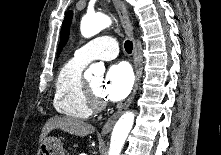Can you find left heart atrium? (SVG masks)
<instances>
[{
    "instance_id": "obj_1",
    "label": "left heart atrium",
    "mask_w": 221,
    "mask_h": 155,
    "mask_svg": "<svg viewBox=\"0 0 221 155\" xmlns=\"http://www.w3.org/2000/svg\"><path fill=\"white\" fill-rule=\"evenodd\" d=\"M133 79V73L128 64L121 62L112 65L103 81L101 96L110 101L125 98L132 88Z\"/></svg>"
}]
</instances>
